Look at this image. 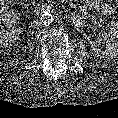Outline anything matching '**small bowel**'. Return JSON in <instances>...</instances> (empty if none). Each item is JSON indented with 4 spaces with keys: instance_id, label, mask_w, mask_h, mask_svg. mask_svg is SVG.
<instances>
[{
    "instance_id": "obj_1",
    "label": "small bowel",
    "mask_w": 118,
    "mask_h": 118,
    "mask_svg": "<svg viewBox=\"0 0 118 118\" xmlns=\"http://www.w3.org/2000/svg\"><path fill=\"white\" fill-rule=\"evenodd\" d=\"M90 6L92 9L106 15H113L115 13L114 8L107 4L105 0H91ZM115 34L118 37V27L115 30Z\"/></svg>"
}]
</instances>
